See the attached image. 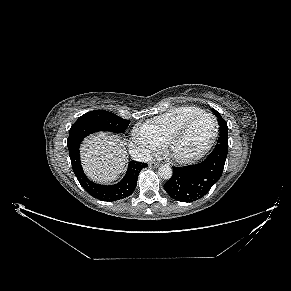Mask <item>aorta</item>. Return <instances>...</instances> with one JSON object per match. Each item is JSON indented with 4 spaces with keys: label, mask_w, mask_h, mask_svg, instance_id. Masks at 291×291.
I'll return each instance as SVG.
<instances>
[{
    "label": "aorta",
    "mask_w": 291,
    "mask_h": 291,
    "mask_svg": "<svg viewBox=\"0 0 291 291\" xmlns=\"http://www.w3.org/2000/svg\"><path fill=\"white\" fill-rule=\"evenodd\" d=\"M158 173L162 179L168 180L172 177L173 171H172L170 166L162 165V166H160Z\"/></svg>",
    "instance_id": "aorta-1"
}]
</instances>
